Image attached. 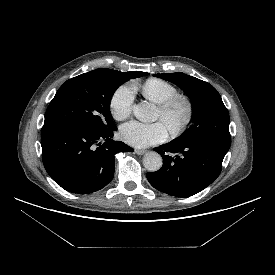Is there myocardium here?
<instances>
[{
  "mask_svg": "<svg viewBox=\"0 0 275 275\" xmlns=\"http://www.w3.org/2000/svg\"><path fill=\"white\" fill-rule=\"evenodd\" d=\"M182 104L185 107L186 114L182 122L175 128L169 130L172 136H178L184 132L191 123L194 115V105L192 100L184 94H177L159 104V110L163 114L169 113L175 106Z\"/></svg>",
  "mask_w": 275,
  "mask_h": 275,
  "instance_id": "obj_1",
  "label": "myocardium"
}]
</instances>
